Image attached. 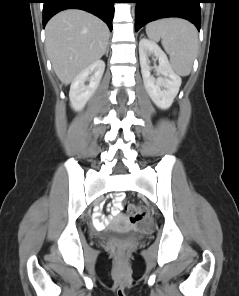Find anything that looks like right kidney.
<instances>
[{"label": "right kidney", "mask_w": 239, "mask_h": 296, "mask_svg": "<svg viewBox=\"0 0 239 296\" xmlns=\"http://www.w3.org/2000/svg\"><path fill=\"white\" fill-rule=\"evenodd\" d=\"M105 70V63L97 60L81 71L70 86L71 107L81 111L98 88ZM89 82L88 85L85 83Z\"/></svg>", "instance_id": "obj_1"}]
</instances>
